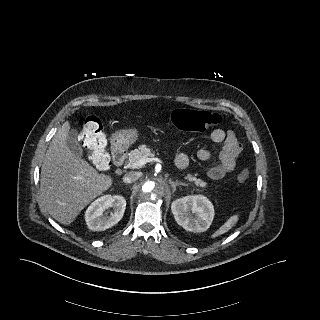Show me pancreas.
Masks as SVG:
<instances>
[{"mask_svg": "<svg viewBox=\"0 0 320 320\" xmlns=\"http://www.w3.org/2000/svg\"><path fill=\"white\" fill-rule=\"evenodd\" d=\"M154 156V152L152 151V149H150L148 146L146 145H141L139 146L138 149L132 150L129 153V158H128V162L129 163H134L142 158H149V157H153ZM185 179H187L189 182H193L196 186L201 187V188H205L207 186V183L204 182L203 180L194 177L191 174H187L185 176Z\"/></svg>", "mask_w": 320, "mask_h": 320, "instance_id": "pancreas-1", "label": "pancreas"}]
</instances>
